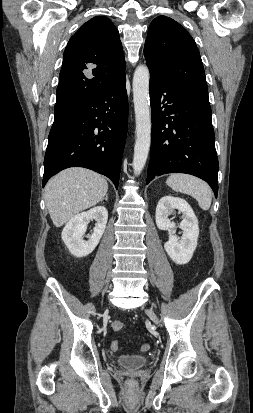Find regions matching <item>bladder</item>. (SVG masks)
<instances>
[{
  "label": "bladder",
  "mask_w": 253,
  "mask_h": 413,
  "mask_svg": "<svg viewBox=\"0 0 253 413\" xmlns=\"http://www.w3.org/2000/svg\"><path fill=\"white\" fill-rule=\"evenodd\" d=\"M149 358L145 355H121L116 359L117 364L126 368H140L146 365Z\"/></svg>",
  "instance_id": "1"
}]
</instances>
